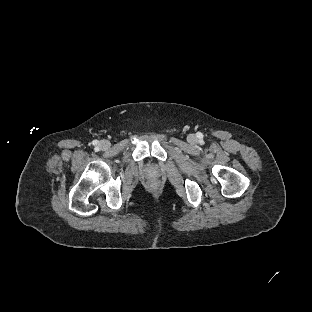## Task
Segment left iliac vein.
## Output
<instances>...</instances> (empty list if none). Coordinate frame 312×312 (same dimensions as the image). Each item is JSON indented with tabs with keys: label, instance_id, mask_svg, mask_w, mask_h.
I'll return each instance as SVG.
<instances>
[{
	"label": "left iliac vein",
	"instance_id": "obj_1",
	"mask_svg": "<svg viewBox=\"0 0 312 312\" xmlns=\"http://www.w3.org/2000/svg\"><path fill=\"white\" fill-rule=\"evenodd\" d=\"M195 139H196V136L193 135V134H191V135L188 136V140H189V141H192V140H195Z\"/></svg>",
	"mask_w": 312,
	"mask_h": 312
}]
</instances>
